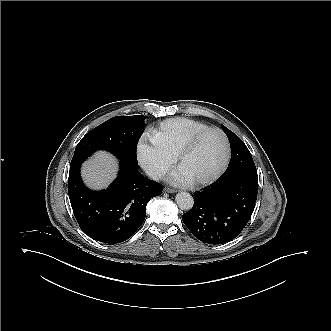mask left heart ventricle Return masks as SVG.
Masks as SVG:
<instances>
[{"label": "left heart ventricle", "mask_w": 331, "mask_h": 331, "mask_svg": "<svg viewBox=\"0 0 331 331\" xmlns=\"http://www.w3.org/2000/svg\"><path fill=\"white\" fill-rule=\"evenodd\" d=\"M224 157L223 140L217 133L201 138L184 156L180 168L191 179H202L213 175Z\"/></svg>", "instance_id": "obj_1"}]
</instances>
